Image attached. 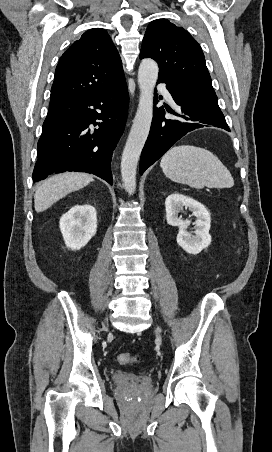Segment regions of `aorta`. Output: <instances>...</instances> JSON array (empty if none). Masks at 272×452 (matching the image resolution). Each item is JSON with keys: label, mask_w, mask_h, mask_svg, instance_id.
<instances>
[{"label": "aorta", "mask_w": 272, "mask_h": 452, "mask_svg": "<svg viewBox=\"0 0 272 452\" xmlns=\"http://www.w3.org/2000/svg\"><path fill=\"white\" fill-rule=\"evenodd\" d=\"M158 71L157 63L150 58L143 59L138 70L139 105L121 160L123 186L130 195L136 189L137 164L151 127L154 87L158 79Z\"/></svg>", "instance_id": "obj_1"}]
</instances>
